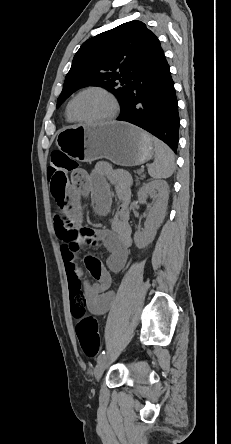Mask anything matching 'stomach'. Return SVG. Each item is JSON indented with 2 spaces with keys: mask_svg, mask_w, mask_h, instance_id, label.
Wrapping results in <instances>:
<instances>
[{
  "mask_svg": "<svg viewBox=\"0 0 231 444\" xmlns=\"http://www.w3.org/2000/svg\"><path fill=\"white\" fill-rule=\"evenodd\" d=\"M56 145L81 162L108 159L120 166H137L154 154L153 138L126 122L72 125L61 129Z\"/></svg>",
  "mask_w": 231,
  "mask_h": 444,
  "instance_id": "obj_1",
  "label": "stomach"
}]
</instances>
